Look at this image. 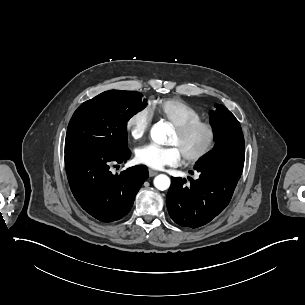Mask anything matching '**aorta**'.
Wrapping results in <instances>:
<instances>
[{
    "instance_id": "aorta-1",
    "label": "aorta",
    "mask_w": 305,
    "mask_h": 305,
    "mask_svg": "<svg viewBox=\"0 0 305 305\" xmlns=\"http://www.w3.org/2000/svg\"><path fill=\"white\" fill-rule=\"evenodd\" d=\"M170 126L165 122L154 124L150 130L152 140L157 144H164L170 134ZM154 186L161 191L167 190L170 187V178L165 174H159L154 178Z\"/></svg>"
}]
</instances>
